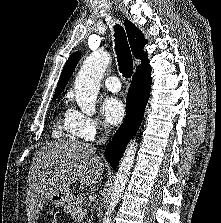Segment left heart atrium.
Masks as SVG:
<instances>
[{
	"label": "left heart atrium",
	"instance_id": "obj_1",
	"mask_svg": "<svg viewBox=\"0 0 221 223\" xmlns=\"http://www.w3.org/2000/svg\"><path fill=\"white\" fill-rule=\"evenodd\" d=\"M102 115L106 123L117 125L125 116V107L119 99L109 97L102 104Z\"/></svg>",
	"mask_w": 221,
	"mask_h": 223
}]
</instances>
